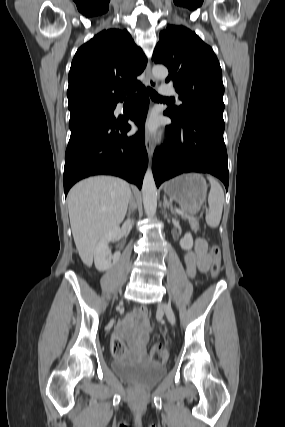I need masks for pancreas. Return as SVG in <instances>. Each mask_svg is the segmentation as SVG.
<instances>
[{
	"mask_svg": "<svg viewBox=\"0 0 285 427\" xmlns=\"http://www.w3.org/2000/svg\"><path fill=\"white\" fill-rule=\"evenodd\" d=\"M183 217L189 219V223L191 224V227L193 229H197L198 228L199 223H198V221L195 218L188 217L187 215H183Z\"/></svg>",
	"mask_w": 285,
	"mask_h": 427,
	"instance_id": "1",
	"label": "pancreas"
}]
</instances>
